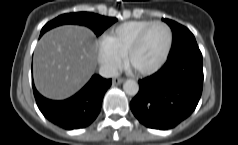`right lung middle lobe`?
<instances>
[{
	"mask_svg": "<svg viewBox=\"0 0 238 145\" xmlns=\"http://www.w3.org/2000/svg\"><path fill=\"white\" fill-rule=\"evenodd\" d=\"M117 21L116 18L105 17L89 12L68 13L58 16L48 22L41 30L40 36L46 31L63 24H77L89 27L96 36H99L103 31Z\"/></svg>",
	"mask_w": 238,
	"mask_h": 145,
	"instance_id": "1",
	"label": "right lung middle lobe"
}]
</instances>
